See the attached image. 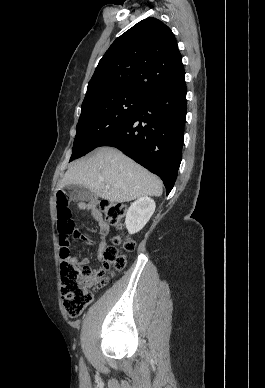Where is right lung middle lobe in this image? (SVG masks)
Segmentation results:
<instances>
[{"label":"right lung middle lobe","instance_id":"obj_1","mask_svg":"<svg viewBox=\"0 0 265 388\" xmlns=\"http://www.w3.org/2000/svg\"><path fill=\"white\" fill-rule=\"evenodd\" d=\"M142 95L101 90L85 97L76 128L70 161L84 156L128 119L139 107Z\"/></svg>","mask_w":265,"mask_h":388}]
</instances>
